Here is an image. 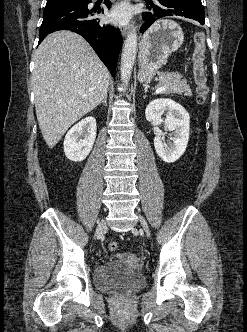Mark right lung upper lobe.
<instances>
[{
  "instance_id": "right-lung-upper-lobe-1",
  "label": "right lung upper lobe",
  "mask_w": 247,
  "mask_h": 332,
  "mask_svg": "<svg viewBox=\"0 0 247 332\" xmlns=\"http://www.w3.org/2000/svg\"><path fill=\"white\" fill-rule=\"evenodd\" d=\"M53 1H58V0H47V2H53Z\"/></svg>"
}]
</instances>
